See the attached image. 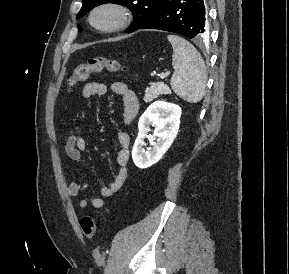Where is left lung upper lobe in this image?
Segmentation results:
<instances>
[{
    "instance_id": "left-lung-upper-lobe-1",
    "label": "left lung upper lobe",
    "mask_w": 289,
    "mask_h": 274,
    "mask_svg": "<svg viewBox=\"0 0 289 274\" xmlns=\"http://www.w3.org/2000/svg\"><path fill=\"white\" fill-rule=\"evenodd\" d=\"M165 0H82V8L77 18L82 17L92 8L107 2L119 3L128 6L134 15V21L127 32L135 31L149 20ZM80 31L81 28L79 27Z\"/></svg>"
}]
</instances>
